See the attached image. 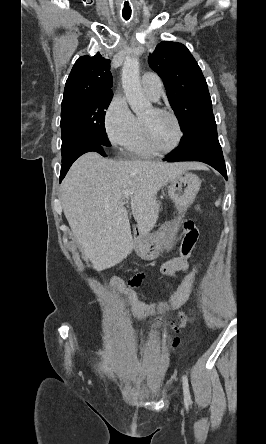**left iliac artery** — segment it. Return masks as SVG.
Returning <instances> with one entry per match:
<instances>
[{"label":"left iliac artery","instance_id":"left-iliac-artery-1","mask_svg":"<svg viewBox=\"0 0 266 444\" xmlns=\"http://www.w3.org/2000/svg\"><path fill=\"white\" fill-rule=\"evenodd\" d=\"M182 385H183L184 399L186 402L190 403L191 402V395H190V391H189L188 378L186 375H183V377H182Z\"/></svg>","mask_w":266,"mask_h":444}]
</instances>
